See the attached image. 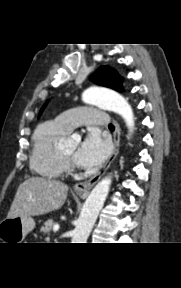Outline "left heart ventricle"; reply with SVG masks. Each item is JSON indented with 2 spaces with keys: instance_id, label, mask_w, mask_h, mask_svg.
<instances>
[{
  "instance_id": "b2bd125f",
  "label": "left heart ventricle",
  "mask_w": 181,
  "mask_h": 288,
  "mask_svg": "<svg viewBox=\"0 0 181 288\" xmlns=\"http://www.w3.org/2000/svg\"><path fill=\"white\" fill-rule=\"evenodd\" d=\"M77 143L71 144L69 146H66L65 148H63L62 150L64 151V153L69 156L72 159H75V154L77 152Z\"/></svg>"
}]
</instances>
